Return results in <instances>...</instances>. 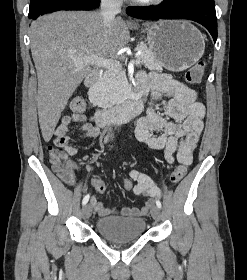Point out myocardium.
Instances as JSON below:
<instances>
[{
    "label": "myocardium",
    "instance_id": "f54148a6",
    "mask_svg": "<svg viewBox=\"0 0 247 280\" xmlns=\"http://www.w3.org/2000/svg\"><path fill=\"white\" fill-rule=\"evenodd\" d=\"M131 1L139 6H153L162 3L164 0H131Z\"/></svg>",
    "mask_w": 247,
    "mask_h": 280
}]
</instances>
